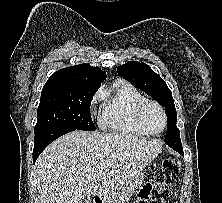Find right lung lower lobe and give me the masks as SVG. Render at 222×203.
<instances>
[{
  "instance_id": "1",
  "label": "right lung lower lobe",
  "mask_w": 222,
  "mask_h": 203,
  "mask_svg": "<svg viewBox=\"0 0 222 203\" xmlns=\"http://www.w3.org/2000/svg\"><path fill=\"white\" fill-rule=\"evenodd\" d=\"M73 128H54L47 131H42L40 133L35 134V141H34V149H33V162L35 163L38 156L41 152L55 139L59 138L60 136L74 131Z\"/></svg>"
}]
</instances>
